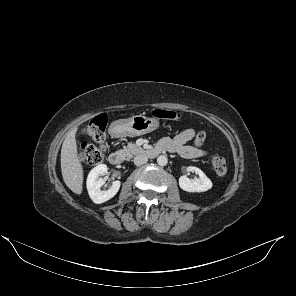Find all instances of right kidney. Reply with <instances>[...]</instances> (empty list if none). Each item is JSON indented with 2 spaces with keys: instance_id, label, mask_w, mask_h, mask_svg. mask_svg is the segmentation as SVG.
I'll return each mask as SVG.
<instances>
[{
  "instance_id": "right-kidney-1",
  "label": "right kidney",
  "mask_w": 296,
  "mask_h": 296,
  "mask_svg": "<svg viewBox=\"0 0 296 296\" xmlns=\"http://www.w3.org/2000/svg\"><path fill=\"white\" fill-rule=\"evenodd\" d=\"M108 171V167L105 164H100L94 167L87 177V190L90 198L95 204L104 203L113 198L120 186V181H114L112 186L108 190H101V186L104 185L105 180L101 177Z\"/></svg>"
}]
</instances>
